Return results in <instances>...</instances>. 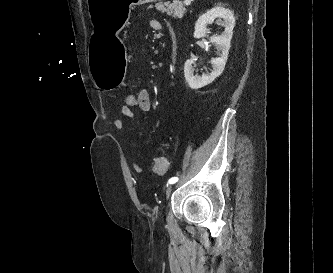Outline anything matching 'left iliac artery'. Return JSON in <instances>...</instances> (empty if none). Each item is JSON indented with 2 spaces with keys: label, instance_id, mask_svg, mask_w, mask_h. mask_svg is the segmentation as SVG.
<instances>
[{
  "label": "left iliac artery",
  "instance_id": "obj_1",
  "mask_svg": "<svg viewBox=\"0 0 333 273\" xmlns=\"http://www.w3.org/2000/svg\"><path fill=\"white\" fill-rule=\"evenodd\" d=\"M178 181V177H172L169 179L168 184H174Z\"/></svg>",
  "mask_w": 333,
  "mask_h": 273
}]
</instances>
